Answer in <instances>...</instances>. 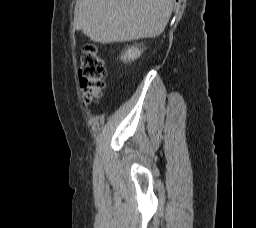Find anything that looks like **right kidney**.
Returning <instances> with one entry per match:
<instances>
[{
  "label": "right kidney",
  "instance_id": "right-kidney-1",
  "mask_svg": "<svg viewBox=\"0 0 256 228\" xmlns=\"http://www.w3.org/2000/svg\"><path fill=\"white\" fill-rule=\"evenodd\" d=\"M142 53V50L139 49L137 46H132L129 47L124 54H122L121 56V60H123L124 62L128 61V60H134L138 57H140Z\"/></svg>",
  "mask_w": 256,
  "mask_h": 228
}]
</instances>
